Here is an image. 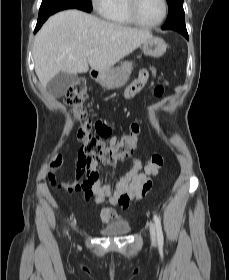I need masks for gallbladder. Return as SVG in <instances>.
Instances as JSON below:
<instances>
[{
    "label": "gallbladder",
    "instance_id": "obj_1",
    "mask_svg": "<svg viewBox=\"0 0 229 280\" xmlns=\"http://www.w3.org/2000/svg\"><path fill=\"white\" fill-rule=\"evenodd\" d=\"M76 79V74L60 72L49 81L47 85L48 92L52 96L60 98L67 92L70 85L74 83Z\"/></svg>",
    "mask_w": 229,
    "mask_h": 280
}]
</instances>
